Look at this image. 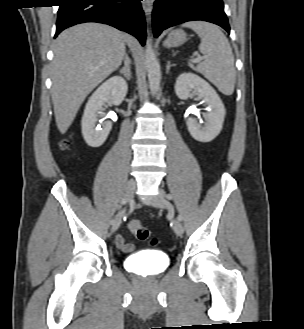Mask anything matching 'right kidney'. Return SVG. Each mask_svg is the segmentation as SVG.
<instances>
[{
  "label": "right kidney",
  "mask_w": 304,
  "mask_h": 329,
  "mask_svg": "<svg viewBox=\"0 0 304 329\" xmlns=\"http://www.w3.org/2000/svg\"><path fill=\"white\" fill-rule=\"evenodd\" d=\"M128 86L126 81L113 76L106 80L89 98L81 121L82 135L91 147H100L108 137L112 123L106 121L96 126L98 116L103 114L105 104L120 105L126 96Z\"/></svg>",
  "instance_id": "right-kidney-1"
}]
</instances>
